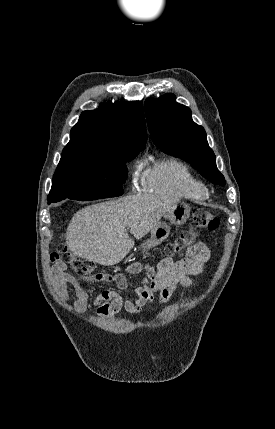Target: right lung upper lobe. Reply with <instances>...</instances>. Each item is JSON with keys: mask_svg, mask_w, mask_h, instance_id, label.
<instances>
[{"mask_svg": "<svg viewBox=\"0 0 275 429\" xmlns=\"http://www.w3.org/2000/svg\"><path fill=\"white\" fill-rule=\"evenodd\" d=\"M147 140L142 103L115 102L84 111L62 158L116 156L142 151Z\"/></svg>", "mask_w": 275, "mask_h": 429, "instance_id": "cb5924a9", "label": "right lung upper lobe"}]
</instances>
